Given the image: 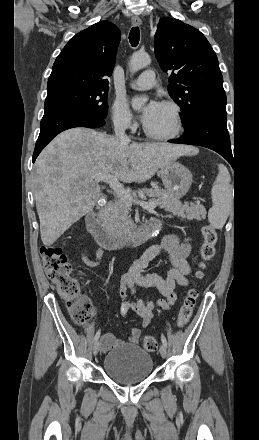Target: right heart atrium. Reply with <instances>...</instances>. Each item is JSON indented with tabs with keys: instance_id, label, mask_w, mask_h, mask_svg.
Returning <instances> with one entry per match:
<instances>
[{
	"instance_id": "1",
	"label": "right heart atrium",
	"mask_w": 259,
	"mask_h": 440,
	"mask_svg": "<svg viewBox=\"0 0 259 440\" xmlns=\"http://www.w3.org/2000/svg\"><path fill=\"white\" fill-rule=\"evenodd\" d=\"M111 120L113 126L118 130H132L136 126L127 103L120 98H117L111 106Z\"/></svg>"
}]
</instances>
